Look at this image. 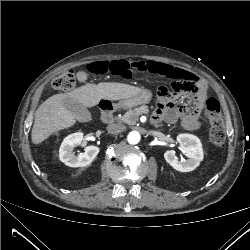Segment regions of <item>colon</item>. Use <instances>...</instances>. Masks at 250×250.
I'll return each mask as SVG.
<instances>
[{
  "mask_svg": "<svg viewBox=\"0 0 250 250\" xmlns=\"http://www.w3.org/2000/svg\"><path fill=\"white\" fill-rule=\"evenodd\" d=\"M87 75H114L128 78L132 74V66L126 61H98L87 65ZM76 85V74L74 70H65L52 81L53 88L57 90L68 91ZM183 86V82L175 78L173 84L174 91H178ZM192 94V93H190ZM159 90V96H160ZM205 116L209 122V138L213 145L220 147L226 139L223 118L219 102L214 98H208L205 101Z\"/></svg>",
  "mask_w": 250,
  "mask_h": 250,
  "instance_id": "obj_1",
  "label": "colon"
}]
</instances>
